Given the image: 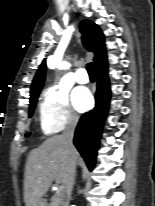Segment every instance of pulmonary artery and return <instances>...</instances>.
<instances>
[{"mask_svg": "<svg viewBox=\"0 0 155 206\" xmlns=\"http://www.w3.org/2000/svg\"><path fill=\"white\" fill-rule=\"evenodd\" d=\"M75 79L80 84L88 83L89 77H88L86 69H84V68L78 69L76 74H75Z\"/></svg>", "mask_w": 155, "mask_h": 206, "instance_id": "e3ab8cb5", "label": "pulmonary artery"}]
</instances>
